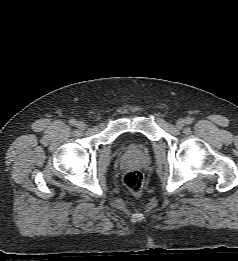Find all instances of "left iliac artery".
Returning a JSON list of instances; mask_svg holds the SVG:
<instances>
[{"mask_svg": "<svg viewBox=\"0 0 238 261\" xmlns=\"http://www.w3.org/2000/svg\"><path fill=\"white\" fill-rule=\"evenodd\" d=\"M185 121H186V124H192L193 119L190 117H187Z\"/></svg>", "mask_w": 238, "mask_h": 261, "instance_id": "obj_1", "label": "left iliac artery"}]
</instances>
